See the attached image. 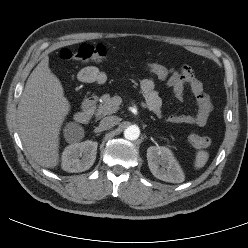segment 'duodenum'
Here are the masks:
<instances>
[{
	"mask_svg": "<svg viewBox=\"0 0 248 248\" xmlns=\"http://www.w3.org/2000/svg\"><path fill=\"white\" fill-rule=\"evenodd\" d=\"M96 104L95 97H89L82 103V108L75 114V121L79 124H87L93 114V108Z\"/></svg>",
	"mask_w": 248,
	"mask_h": 248,
	"instance_id": "1",
	"label": "duodenum"
}]
</instances>
